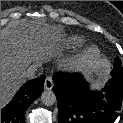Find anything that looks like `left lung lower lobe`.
Wrapping results in <instances>:
<instances>
[{
  "instance_id": "1",
  "label": "left lung lower lobe",
  "mask_w": 123,
  "mask_h": 123,
  "mask_svg": "<svg viewBox=\"0 0 123 123\" xmlns=\"http://www.w3.org/2000/svg\"><path fill=\"white\" fill-rule=\"evenodd\" d=\"M53 92L59 123H113L122 105L123 80L112 77L101 91H91L80 74L56 73Z\"/></svg>"
}]
</instances>
